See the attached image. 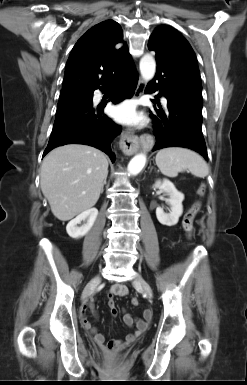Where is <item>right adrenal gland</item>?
<instances>
[{"label": "right adrenal gland", "mask_w": 247, "mask_h": 385, "mask_svg": "<svg viewBox=\"0 0 247 385\" xmlns=\"http://www.w3.org/2000/svg\"><path fill=\"white\" fill-rule=\"evenodd\" d=\"M107 184V177L104 179V182H103V185H102V189H101V193H103V188H104V185H106Z\"/></svg>", "instance_id": "right-adrenal-gland-1"}]
</instances>
